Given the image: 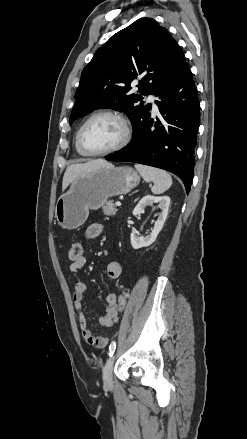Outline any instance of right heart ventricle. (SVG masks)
I'll return each instance as SVG.
<instances>
[{
	"mask_svg": "<svg viewBox=\"0 0 247 439\" xmlns=\"http://www.w3.org/2000/svg\"><path fill=\"white\" fill-rule=\"evenodd\" d=\"M75 148H76V150H77V152H78L79 154L84 155V154L81 152V150H80V148H79V146H78L77 135H76V138H75Z\"/></svg>",
	"mask_w": 247,
	"mask_h": 439,
	"instance_id": "obj_1",
	"label": "right heart ventricle"
}]
</instances>
